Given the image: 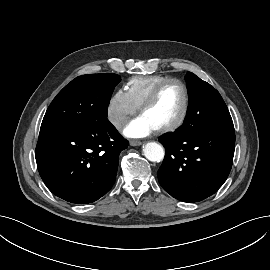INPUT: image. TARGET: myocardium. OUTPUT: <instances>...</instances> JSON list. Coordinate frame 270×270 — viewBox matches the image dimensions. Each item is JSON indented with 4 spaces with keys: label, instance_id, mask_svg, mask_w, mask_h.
Segmentation results:
<instances>
[{
    "label": "myocardium",
    "instance_id": "1",
    "mask_svg": "<svg viewBox=\"0 0 270 270\" xmlns=\"http://www.w3.org/2000/svg\"><path fill=\"white\" fill-rule=\"evenodd\" d=\"M171 83H177L182 87L184 92V104L180 116L174 122L156 129V132L160 134L177 130L186 121L190 109V93L186 83L178 78H169L159 83L157 86H155V88L151 91V93L148 95V97L144 100V102L139 108V113L142 114L156 101L161 91Z\"/></svg>",
    "mask_w": 270,
    "mask_h": 270
}]
</instances>
